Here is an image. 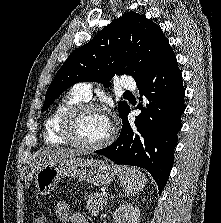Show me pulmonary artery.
<instances>
[{
  "instance_id": "1",
  "label": "pulmonary artery",
  "mask_w": 221,
  "mask_h": 223,
  "mask_svg": "<svg viewBox=\"0 0 221 223\" xmlns=\"http://www.w3.org/2000/svg\"><path fill=\"white\" fill-rule=\"evenodd\" d=\"M120 85L124 89H134L135 88V81L129 77H123L120 80ZM91 88L92 84L89 82H80L73 86V91L77 93L84 99H89L91 96Z\"/></svg>"
}]
</instances>
